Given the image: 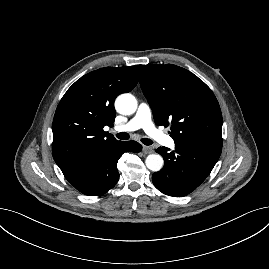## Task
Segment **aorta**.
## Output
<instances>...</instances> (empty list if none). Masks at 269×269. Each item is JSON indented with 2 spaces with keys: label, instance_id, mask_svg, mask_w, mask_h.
<instances>
[{
  "label": "aorta",
  "instance_id": "aorta-1",
  "mask_svg": "<svg viewBox=\"0 0 269 269\" xmlns=\"http://www.w3.org/2000/svg\"><path fill=\"white\" fill-rule=\"evenodd\" d=\"M115 108L122 115H131L137 109V100L129 93L121 94L116 98ZM145 164L149 170L158 172L162 169L164 160L159 154H150L147 156Z\"/></svg>",
  "mask_w": 269,
  "mask_h": 269
}]
</instances>
